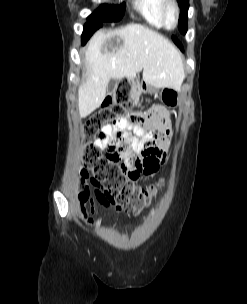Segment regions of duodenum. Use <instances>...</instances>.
<instances>
[{"label":"duodenum","instance_id":"obj_1","mask_svg":"<svg viewBox=\"0 0 247 304\" xmlns=\"http://www.w3.org/2000/svg\"><path fill=\"white\" fill-rule=\"evenodd\" d=\"M129 83H130L129 86L131 87V89H135V90L141 89V86H145V81H141L138 78H132L129 81Z\"/></svg>","mask_w":247,"mask_h":304}]
</instances>
